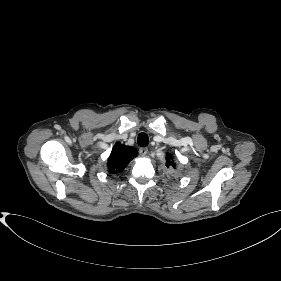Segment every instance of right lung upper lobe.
I'll use <instances>...</instances> for the list:
<instances>
[{
	"label": "right lung upper lobe",
	"mask_w": 281,
	"mask_h": 281,
	"mask_svg": "<svg viewBox=\"0 0 281 281\" xmlns=\"http://www.w3.org/2000/svg\"><path fill=\"white\" fill-rule=\"evenodd\" d=\"M137 155L138 152L133 147L116 143L108 158L109 172L114 174L118 171H122Z\"/></svg>",
	"instance_id": "obj_1"
}]
</instances>
